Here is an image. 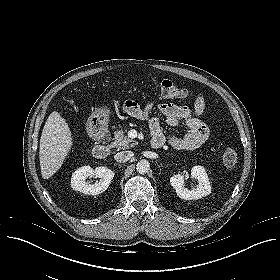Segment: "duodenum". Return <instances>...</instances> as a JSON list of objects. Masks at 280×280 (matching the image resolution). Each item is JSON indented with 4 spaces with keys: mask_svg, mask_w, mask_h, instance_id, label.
Instances as JSON below:
<instances>
[{
    "mask_svg": "<svg viewBox=\"0 0 280 280\" xmlns=\"http://www.w3.org/2000/svg\"><path fill=\"white\" fill-rule=\"evenodd\" d=\"M96 144L93 149V156L96 159H105L110 155L111 149L110 147L104 143V140L109 137L108 131H101L98 132L96 135ZM164 145V141L162 138L159 137H153L151 140V146L154 149H159Z\"/></svg>",
    "mask_w": 280,
    "mask_h": 280,
    "instance_id": "duodenum-1",
    "label": "duodenum"
}]
</instances>
